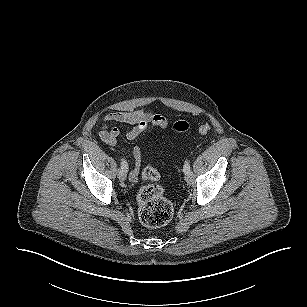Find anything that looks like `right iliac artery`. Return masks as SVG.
Segmentation results:
<instances>
[{
	"instance_id": "82829eb1",
	"label": "right iliac artery",
	"mask_w": 307,
	"mask_h": 307,
	"mask_svg": "<svg viewBox=\"0 0 307 307\" xmlns=\"http://www.w3.org/2000/svg\"><path fill=\"white\" fill-rule=\"evenodd\" d=\"M121 169H123L125 172H127L128 164L124 159H121Z\"/></svg>"
}]
</instances>
